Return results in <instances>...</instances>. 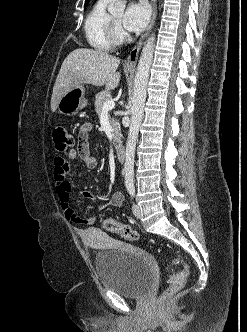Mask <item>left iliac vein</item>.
<instances>
[{
    "instance_id": "left-iliac-vein-1",
    "label": "left iliac vein",
    "mask_w": 247,
    "mask_h": 332,
    "mask_svg": "<svg viewBox=\"0 0 247 332\" xmlns=\"http://www.w3.org/2000/svg\"><path fill=\"white\" fill-rule=\"evenodd\" d=\"M132 211L136 218H138V219L141 218V209L138 204H136V203L133 204Z\"/></svg>"
}]
</instances>
